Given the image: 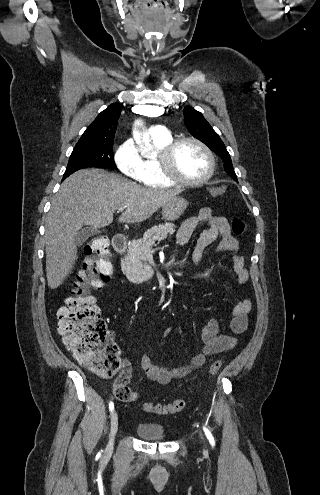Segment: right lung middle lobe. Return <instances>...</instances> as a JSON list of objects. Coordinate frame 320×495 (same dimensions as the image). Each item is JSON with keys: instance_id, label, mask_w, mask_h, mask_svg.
I'll use <instances>...</instances> for the list:
<instances>
[{"instance_id": "dd1d6c3e", "label": "right lung middle lobe", "mask_w": 320, "mask_h": 495, "mask_svg": "<svg viewBox=\"0 0 320 495\" xmlns=\"http://www.w3.org/2000/svg\"><path fill=\"white\" fill-rule=\"evenodd\" d=\"M88 167L116 169L113 144L76 145L70 156L63 179Z\"/></svg>"}]
</instances>
